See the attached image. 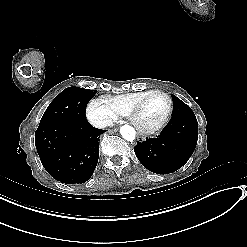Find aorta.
Masks as SVG:
<instances>
[{
  "label": "aorta",
  "instance_id": "aorta-1",
  "mask_svg": "<svg viewBox=\"0 0 247 247\" xmlns=\"http://www.w3.org/2000/svg\"><path fill=\"white\" fill-rule=\"evenodd\" d=\"M122 137L127 141H133L135 139V129L132 126L124 125L120 128Z\"/></svg>",
  "mask_w": 247,
  "mask_h": 247
}]
</instances>
